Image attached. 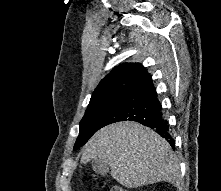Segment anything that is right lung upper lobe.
Masks as SVG:
<instances>
[{
    "label": "right lung upper lobe",
    "instance_id": "obj_1",
    "mask_svg": "<svg viewBox=\"0 0 221 191\" xmlns=\"http://www.w3.org/2000/svg\"><path fill=\"white\" fill-rule=\"evenodd\" d=\"M143 65L126 63L118 66L98 84L90 99L89 105L121 99L130 90L150 79Z\"/></svg>",
    "mask_w": 221,
    "mask_h": 191
}]
</instances>
